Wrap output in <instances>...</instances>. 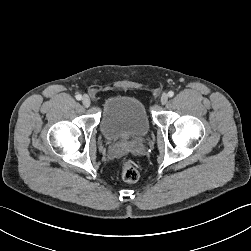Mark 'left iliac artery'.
Instances as JSON below:
<instances>
[{
	"mask_svg": "<svg viewBox=\"0 0 251 251\" xmlns=\"http://www.w3.org/2000/svg\"><path fill=\"white\" fill-rule=\"evenodd\" d=\"M168 96H169V97H173V96H174V92H173V91H169V92H168Z\"/></svg>",
	"mask_w": 251,
	"mask_h": 251,
	"instance_id": "1",
	"label": "left iliac artery"
}]
</instances>
